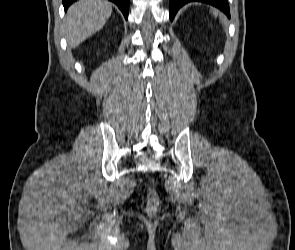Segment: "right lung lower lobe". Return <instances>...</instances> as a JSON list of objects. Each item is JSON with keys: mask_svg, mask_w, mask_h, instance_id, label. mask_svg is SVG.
Listing matches in <instances>:
<instances>
[{"mask_svg": "<svg viewBox=\"0 0 295 250\" xmlns=\"http://www.w3.org/2000/svg\"><path fill=\"white\" fill-rule=\"evenodd\" d=\"M75 1H77V0H63V6H64L65 11ZM109 1L114 2L120 8L125 19L128 18L129 0H109Z\"/></svg>", "mask_w": 295, "mask_h": 250, "instance_id": "right-lung-lower-lobe-1", "label": "right lung lower lobe"}]
</instances>
